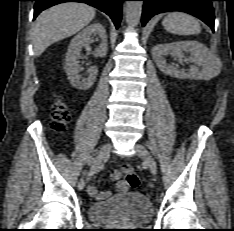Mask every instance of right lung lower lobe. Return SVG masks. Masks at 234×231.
<instances>
[{"instance_id": "1", "label": "right lung lower lobe", "mask_w": 234, "mask_h": 231, "mask_svg": "<svg viewBox=\"0 0 234 231\" xmlns=\"http://www.w3.org/2000/svg\"><path fill=\"white\" fill-rule=\"evenodd\" d=\"M34 1L36 2L34 7V18H36L41 11L53 5L68 1H77L89 4L105 12L111 17L116 28H118L121 20L122 2L124 0H34Z\"/></svg>"}]
</instances>
